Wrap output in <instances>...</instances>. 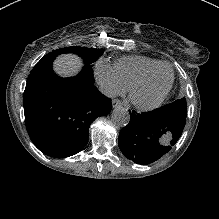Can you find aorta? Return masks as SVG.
<instances>
[{
	"label": "aorta",
	"mask_w": 219,
	"mask_h": 219,
	"mask_svg": "<svg viewBox=\"0 0 219 219\" xmlns=\"http://www.w3.org/2000/svg\"><path fill=\"white\" fill-rule=\"evenodd\" d=\"M111 120L115 125L123 127L128 125L130 114L124 107H117L111 113Z\"/></svg>",
	"instance_id": "762f6f07"
}]
</instances>
